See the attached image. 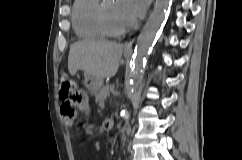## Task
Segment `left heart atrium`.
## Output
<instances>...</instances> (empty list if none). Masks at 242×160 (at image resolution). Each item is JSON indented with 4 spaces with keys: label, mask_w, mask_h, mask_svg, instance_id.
Masks as SVG:
<instances>
[{
    "label": "left heart atrium",
    "mask_w": 242,
    "mask_h": 160,
    "mask_svg": "<svg viewBox=\"0 0 242 160\" xmlns=\"http://www.w3.org/2000/svg\"><path fill=\"white\" fill-rule=\"evenodd\" d=\"M147 0H118V8L127 24H133L146 10Z\"/></svg>",
    "instance_id": "39dd6f15"
}]
</instances>
